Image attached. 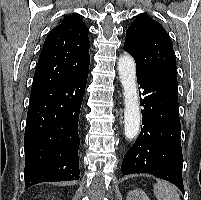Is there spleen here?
<instances>
[{"instance_id": "spleen-1", "label": "spleen", "mask_w": 201, "mask_h": 200, "mask_svg": "<svg viewBox=\"0 0 201 200\" xmlns=\"http://www.w3.org/2000/svg\"><path fill=\"white\" fill-rule=\"evenodd\" d=\"M153 191L157 200H180L176 188L166 182L159 181Z\"/></svg>"}]
</instances>
